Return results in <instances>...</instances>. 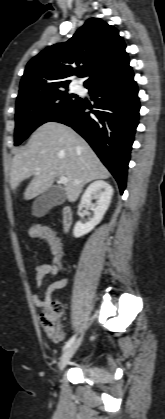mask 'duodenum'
Instances as JSON below:
<instances>
[{
    "instance_id": "obj_1",
    "label": "duodenum",
    "mask_w": 165,
    "mask_h": 419,
    "mask_svg": "<svg viewBox=\"0 0 165 419\" xmlns=\"http://www.w3.org/2000/svg\"><path fill=\"white\" fill-rule=\"evenodd\" d=\"M73 215L69 206H64L61 211V226L64 232H68L72 225Z\"/></svg>"
}]
</instances>
